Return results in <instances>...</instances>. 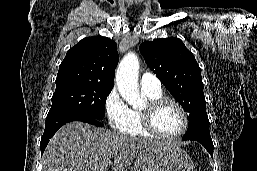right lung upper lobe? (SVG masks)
Segmentation results:
<instances>
[{"mask_svg": "<svg viewBox=\"0 0 257 171\" xmlns=\"http://www.w3.org/2000/svg\"><path fill=\"white\" fill-rule=\"evenodd\" d=\"M118 60L115 41L103 36L84 38L66 53L59 66L56 87L68 84L113 87Z\"/></svg>", "mask_w": 257, "mask_h": 171, "instance_id": "1", "label": "right lung upper lobe"}]
</instances>
